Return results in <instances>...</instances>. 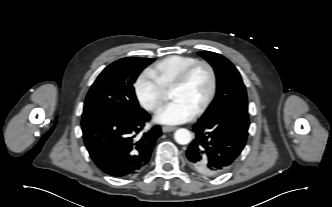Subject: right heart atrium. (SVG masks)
Wrapping results in <instances>:
<instances>
[{"instance_id": "1", "label": "right heart atrium", "mask_w": 332, "mask_h": 207, "mask_svg": "<svg viewBox=\"0 0 332 207\" xmlns=\"http://www.w3.org/2000/svg\"><path fill=\"white\" fill-rule=\"evenodd\" d=\"M135 93L144 109L157 112L165 99V91L149 74L142 73L135 82Z\"/></svg>"}]
</instances>
